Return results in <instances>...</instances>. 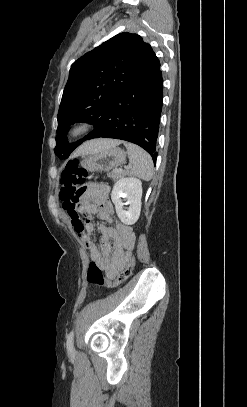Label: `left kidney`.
<instances>
[{
  "label": "left kidney",
  "instance_id": "1",
  "mask_svg": "<svg viewBox=\"0 0 247 407\" xmlns=\"http://www.w3.org/2000/svg\"><path fill=\"white\" fill-rule=\"evenodd\" d=\"M142 182L134 177L119 179L111 192L117 216L122 223L133 225L137 222L141 211ZM126 200L124 203L123 200ZM124 205H128L127 210Z\"/></svg>",
  "mask_w": 247,
  "mask_h": 407
}]
</instances>
